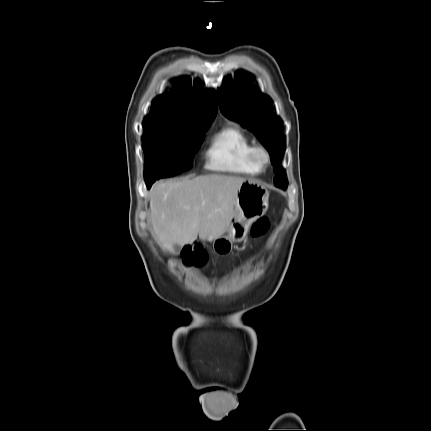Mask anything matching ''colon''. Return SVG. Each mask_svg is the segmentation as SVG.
I'll return each mask as SVG.
<instances>
[{
	"label": "colon",
	"instance_id": "5ec220e1",
	"mask_svg": "<svg viewBox=\"0 0 431 431\" xmlns=\"http://www.w3.org/2000/svg\"><path fill=\"white\" fill-rule=\"evenodd\" d=\"M268 226V219L265 217L260 218L253 224L251 228V235L253 237H259L263 235L267 231ZM183 256L188 264L196 266L202 265L207 258L206 253L198 246L187 249Z\"/></svg>",
	"mask_w": 431,
	"mask_h": 431
}]
</instances>
